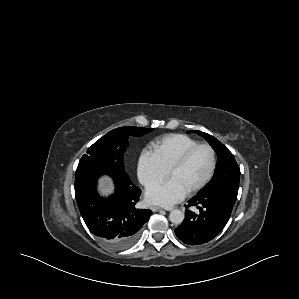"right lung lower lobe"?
<instances>
[{"instance_id": "98d812e1", "label": "right lung lower lobe", "mask_w": 299, "mask_h": 299, "mask_svg": "<svg viewBox=\"0 0 299 299\" xmlns=\"http://www.w3.org/2000/svg\"><path fill=\"white\" fill-rule=\"evenodd\" d=\"M109 175L115 192L108 199L97 194V179ZM141 194L126 172L103 162H87L77 167L75 196L89 230L109 248L123 250L132 246L139 230L152 214L136 207Z\"/></svg>"}]
</instances>
